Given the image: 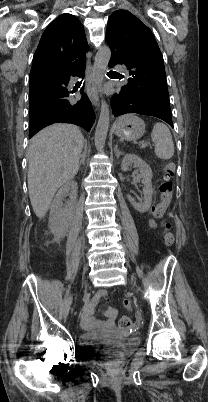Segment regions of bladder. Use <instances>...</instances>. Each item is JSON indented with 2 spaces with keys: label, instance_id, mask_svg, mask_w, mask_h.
<instances>
[{
  "label": "bladder",
  "instance_id": "bladder-1",
  "mask_svg": "<svg viewBox=\"0 0 208 402\" xmlns=\"http://www.w3.org/2000/svg\"><path fill=\"white\" fill-rule=\"evenodd\" d=\"M82 348L90 353H105L107 350L120 348L121 350H131L137 347L140 337L134 334L116 335L113 333L83 334L81 337Z\"/></svg>",
  "mask_w": 208,
  "mask_h": 402
}]
</instances>
